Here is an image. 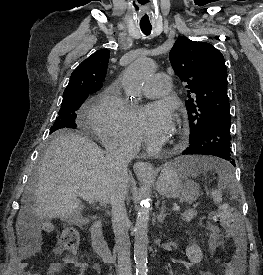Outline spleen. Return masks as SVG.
I'll return each instance as SVG.
<instances>
[{
  "mask_svg": "<svg viewBox=\"0 0 263 275\" xmlns=\"http://www.w3.org/2000/svg\"><path fill=\"white\" fill-rule=\"evenodd\" d=\"M177 172L182 177H197L200 171L214 170L219 177L218 189L212 192L215 203L222 202L223 188L234 189L236 185L233 168L229 162L217 158H179L175 161Z\"/></svg>",
  "mask_w": 263,
  "mask_h": 275,
  "instance_id": "spleen-1",
  "label": "spleen"
}]
</instances>
